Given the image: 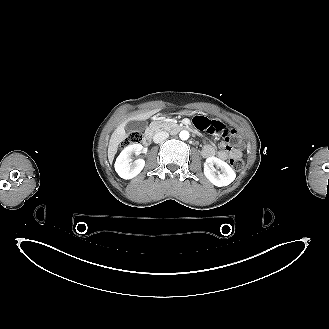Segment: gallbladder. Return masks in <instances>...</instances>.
<instances>
[{"label": "gallbladder", "instance_id": "bac80fb5", "mask_svg": "<svg viewBox=\"0 0 329 329\" xmlns=\"http://www.w3.org/2000/svg\"><path fill=\"white\" fill-rule=\"evenodd\" d=\"M147 127L145 121L131 120L126 124L128 131H143Z\"/></svg>", "mask_w": 329, "mask_h": 329}]
</instances>
